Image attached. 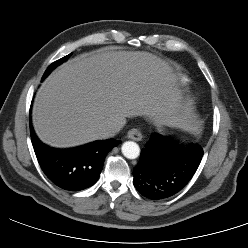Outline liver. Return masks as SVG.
I'll return each mask as SVG.
<instances>
[{"mask_svg": "<svg viewBox=\"0 0 248 248\" xmlns=\"http://www.w3.org/2000/svg\"><path fill=\"white\" fill-rule=\"evenodd\" d=\"M171 68L148 52L82 54L47 77L33 105L38 137L65 148L108 138L109 126L126 117L160 122L178 106Z\"/></svg>", "mask_w": 248, "mask_h": 248, "instance_id": "6515ba94", "label": "liver"}]
</instances>
